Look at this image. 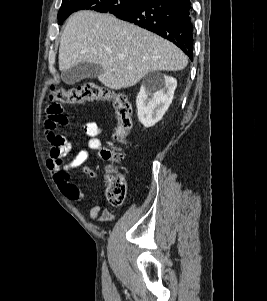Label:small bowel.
Segmentation results:
<instances>
[{"mask_svg":"<svg viewBox=\"0 0 267 301\" xmlns=\"http://www.w3.org/2000/svg\"><path fill=\"white\" fill-rule=\"evenodd\" d=\"M45 135L50 144L47 166L51 170L54 181L61 193L71 202L81 201L84 198L82 190L71 181L72 171L80 169L82 173L90 178L96 179L99 173L86 166L89 152L98 150L102 146L99 135L103 128L96 122H87L82 129L88 137L87 146L76 152L68 161L64 160L71 151V144L64 136L58 133L59 126L68 123L63 107L58 102L51 101L46 106ZM88 218L99 223L108 222L114 219V215L107 209H102L98 204L92 206Z\"/></svg>","mask_w":267,"mask_h":301,"instance_id":"small-bowel-1","label":"small bowel"}]
</instances>
